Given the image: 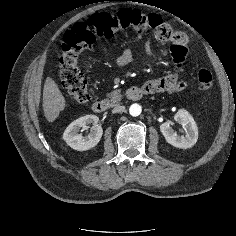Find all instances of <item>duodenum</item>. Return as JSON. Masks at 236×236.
Segmentation results:
<instances>
[{
	"mask_svg": "<svg viewBox=\"0 0 236 236\" xmlns=\"http://www.w3.org/2000/svg\"><path fill=\"white\" fill-rule=\"evenodd\" d=\"M147 94L142 86H133L127 89L125 96L131 101L140 100ZM122 101V95H116L109 100H98L92 103L91 108L94 112L103 113L111 107L117 106Z\"/></svg>",
	"mask_w": 236,
	"mask_h": 236,
	"instance_id": "obj_1",
	"label": "duodenum"
}]
</instances>
